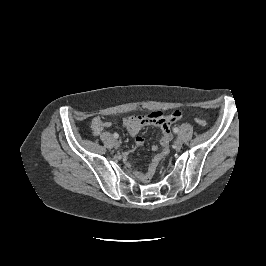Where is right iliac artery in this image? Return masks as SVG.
<instances>
[{
    "label": "right iliac artery",
    "instance_id": "obj_1",
    "mask_svg": "<svg viewBox=\"0 0 266 266\" xmlns=\"http://www.w3.org/2000/svg\"><path fill=\"white\" fill-rule=\"evenodd\" d=\"M113 137L117 139L119 137V134L118 133H114Z\"/></svg>",
    "mask_w": 266,
    "mask_h": 266
}]
</instances>
